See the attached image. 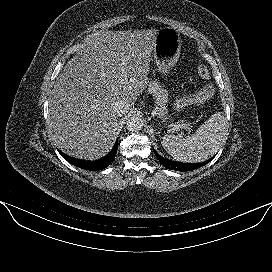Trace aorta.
Here are the masks:
<instances>
[{
    "label": "aorta",
    "instance_id": "aorta-1",
    "mask_svg": "<svg viewBox=\"0 0 272 272\" xmlns=\"http://www.w3.org/2000/svg\"><path fill=\"white\" fill-rule=\"evenodd\" d=\"M126 127L129 131H139L143 128V121L140 117L133 116L127 121Z\"/></svg>",
    "mask_w": 272,
    "mask_h": 272
}]
</instances>
